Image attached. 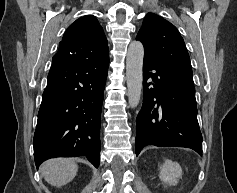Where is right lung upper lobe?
Returning a JSON list of instances; mask_svg holds the SVG:
<instances>
[{
	"label": "right lung upper lobe",
	"instance_id": "1",
	"mask_svg": "<svg viewBox=\"0 0 237 193\" xmlns=\"http://www.w3.org/2000/svg\"><path fill=\"white\" fill-rule=\"evenodd\" d=\"M57 54L80 62L107 58V39L97 19L86 15L72 23L60 42Z\"/></svg>",
	"mask_w": 237,
	"mask_h": 193
}]
</instances>
